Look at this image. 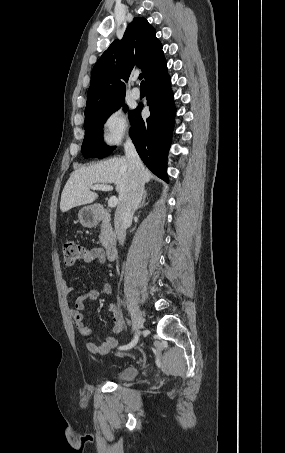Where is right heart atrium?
Returning <instances> with one entry per match:
<instances>
[{
	"label": "right heart atrium",
	"mask_w": 285,
	"mask_h": 453,
	"mask_svg": "<svg viewBox=\"0 0 285 453\" xmlns=\"http://www.w3.org/2000/svg\"><path fill=\"white\" fill-rule=\"evenodd\" d=\"M130 124L122 108L112 110L102 124V139L108 146L121 144L128 138Z\"/></svg>",
	"instance_id": "right-heart-atrium-1"
}]
</instances>
